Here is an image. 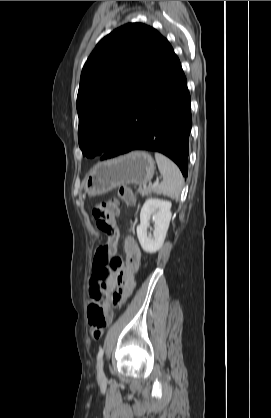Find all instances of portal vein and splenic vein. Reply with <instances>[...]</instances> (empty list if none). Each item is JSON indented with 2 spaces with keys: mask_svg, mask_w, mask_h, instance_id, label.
Instances as JSON below:
<instances>
[{
  "mask_svg": "<svg viewBox=\"0 0 271 418\" xmlns=\"http://www.w3.org/2000/svg\"><path fill=\"white\" fill-rule=\"evenodd\" d=\"M159 179H156V181L154 182V184L153 185H151V187H156V186H158L159 185Z\"/></svg>",
  "mask_w": 271,
  "mask_h": 418,
  "instance_id": "18ae733b",
  "label": "portal vein and splenic vein"
}]
</instances>
